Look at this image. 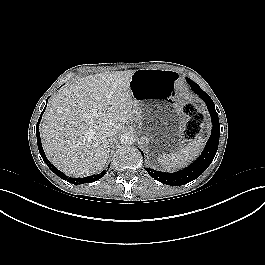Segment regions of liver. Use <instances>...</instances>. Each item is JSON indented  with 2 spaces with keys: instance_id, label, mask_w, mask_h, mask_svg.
<instances>
[{
  "instance_id": "liver-1",
  "label": "liver",
  "mask_w": 265,
  "mask_h": 265,
  "mask_svg": "<svg viewBox=\"0 0 265 265\" xmlns=\"http://www.w3.org/2000/svg\"><path fill=\"white\" fill-rule=\"evenodd\" d=\"M134 72L87 76L51 98L40 133L43 149L58 169L75 177L104 169L110 149L103 124L111 122L118 133L138 113L130 90Z\"/></svg>"
}]
</instances>
